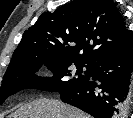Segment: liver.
Returning <instances> with one entry per match:
<instances>
[{"instance_id": "liver-1", "label": "liver", "mask_w": 133, "mask_h": 118, "mask_svg": "<svg viewBox=\"0 0 133 118\" xmlns=\"http://www.w3.org/2000/svg\"><path fill=\"white\" fill-rule=\"evenodd\" d=\"M9 118H90V116L59 100L42 98L18 106Z\"/></svg>"}]
</instances>
